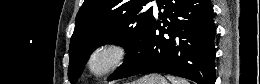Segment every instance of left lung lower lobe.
I'll return each instance as SVG.
<instances>
[{"instance_id": "left-lung-lower-lobe-1", "label": "left lung lower lobe", "mask_w": 260, "mask_h": 84, "mask_svg": "<svg viewBox=\"0 0 260 84\" xmlns=\"http://www.w3.org/2000/svg\"><path fill=\"white\" fill-rule=\"evenodd\" d=\"M163 5L162 21L153 19L138 57L114 79L161 72L215 84L216 28L210 0H158L159 10Z\"/></svg>"}]
</instances>
